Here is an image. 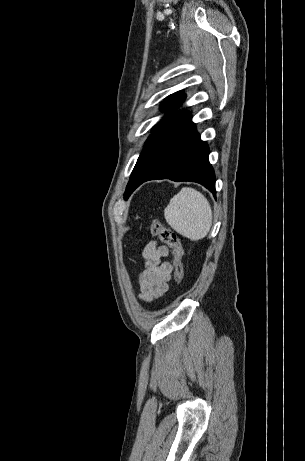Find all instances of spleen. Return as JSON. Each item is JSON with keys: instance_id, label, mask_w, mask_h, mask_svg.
Returning <instances> with one entry per match:
<instances>
[{"instance_id": "spleen-1", "label": "spleen", "mask_w": 305, "mask_h": 461, "mask_svg": "<svg viewBox=\"0 0 305 461\" xmlns=\"http://www.w3.org/2000/svg\"><path fill=\"white\" fill-rule=\"evenodd\" d=\"M167 223L190 240L203 239L212 225V209L207 198L193 188L184 187L164 210Z\"/></svg>"}]
</instances>
